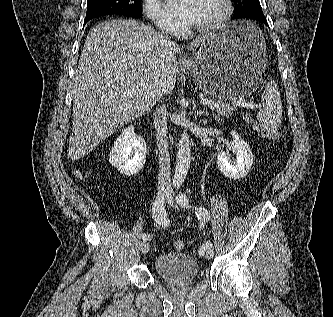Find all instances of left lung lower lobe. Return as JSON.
Instances as JSON below:
<instances>
[{"label":"left lung lower lobe","mask_w":333,"mask_h":317,"mask_svg":"<svg viewBox=\"0 0 333 317\" xmlns=\"http://www.w3.org/2000/svg\"><path fill=\"white\" fill-rule=\"evenodd\" d=\"M232 19H254L263 22L268 26L267 20L262 11H254L250 13H242L237 16H233Z\"/></svg>","instance_id":"0a47b994"}]
</instances>
